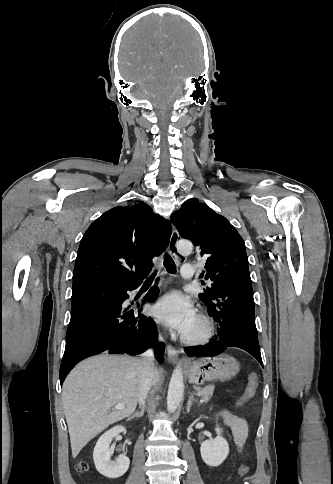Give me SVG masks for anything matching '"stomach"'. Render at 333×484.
<instances>
[{
	"instance_id": "stomach-1",
	"label": "stomach",
	"mask_w": 333,
	"mask_h": 484,
	"mask_svg": "<svg viewBox=\"0 0 333 484\" xmlns=\"http://www.w3.org/2000/svg\"><path fill=\"white\" fill-rule=\"evenodd\" d=\"M239 370L237 360L228 354L200 358L188 364L189 382L203 385L216 380L226 381L234 377Z\"/></svg>"
}]
</instances>
